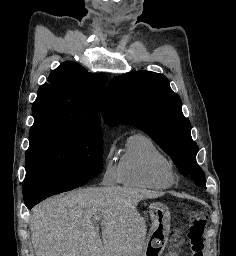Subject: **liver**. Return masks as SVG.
I'll return each instance as SVG.
<instances>
[{"instance_id":"1","label":"liver","mask_w":236,"mask_h":256,"mask_svg":"<svg viewBox=\"0 0 236 256\" xmlns=\"http://www.w3.org/2000/svg\"><path fill=\"white\" fill-rule=\"evenodd\" d=\"M164 192L139 188H84L45 200L29 222L36 256H139L146 236L137 204ZM101 214L100 236L92 218Z\"/></svg>"}]
</instances>
